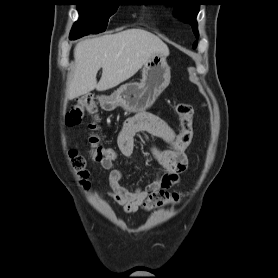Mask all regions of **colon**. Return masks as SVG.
<instances>
[{
    "mask_svg": "<svg viewBox=\"0 0 278 278\" xmlns=\"http://www.w3.org/2000/svg\"><path fill=\"white\" fill-rule=\"evenodd\" d=\"M97 113V104L95 99L90 96H82L71 106L66 114V124L70 126L81 124L87 115H95ZM176 113L180 119V130L176 134L172 147L175 151L185 153L193 139L192 118L194 109L190 104L179 103L176 106ZM92 129L95 125L90 126ZM91 156L96 162L106 159H115L118 152L114 148H107L99 145L98 138L92 136ZM71 164L81 182L86 185L90 176V170L86 159L76 151L70 152ZM180 195L176 192H168L160 190L150 194L145 201V208L148 210L161 207L167 204H173L179 201Z\"/></svg>",
    "mask_w": 278,
    "mask_h": 278,
    "instance_id": "colon-1",
    "label": "colon"
}]
</instances>
